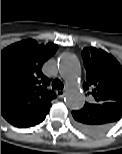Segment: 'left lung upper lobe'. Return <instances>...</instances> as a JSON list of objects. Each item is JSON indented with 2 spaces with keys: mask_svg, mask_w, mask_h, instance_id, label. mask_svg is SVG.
I'll return each instance as SVG.
<instances>
[{
  "mask_svg": "<svg viewBox=\"0 0 122 154\" xmlns=\"http://www.w3.org/2000/svg\"><path fill=\"white\" fill-rule=\"evenodd\" d=\"M82 58L87 73L83 88L92 90L93 103H122V66L119 62L104 50L94 47L84 48ZM76 112H72L74 119Z\"/></svg>",
  "mask_w": 122,
  "mask_h": 154,
  "instance_id": "left-lung-upper-lobe-1",
  "label": "left lung upper lobe"
}]
</instances>
